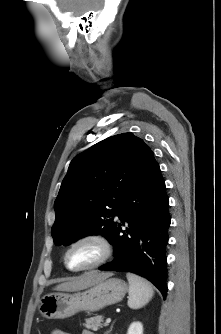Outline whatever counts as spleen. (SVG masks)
Wrapping results in <instances>:
<instances>
[{
	"instance_id": "1",
	"label": "spleen",
	"mask_w": 221,
	"mask_h": 334,
	"mask_svg": "<svg viewBox=\"0 0 221 334\" xmlns=\"http://www.w3.org/2000/svg\"><path fill=\"white\" fill-rule=\"evenodd\" d=\"M126 277L129 282L128 306L131 309L145 306L154 295L151 284L133 273H127Z\"/></svg>"
}]
</instances>
